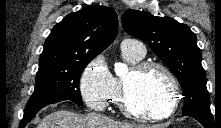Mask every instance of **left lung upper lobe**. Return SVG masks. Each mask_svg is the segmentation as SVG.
Listing matches in <instances>:
<instances>
[{"label": "left lung upper lobe", "instance_id": "left-lung-upper-lobe-1", "mask_svg": "<svg viewBox=\"0 0 221 128\" xmlns=\"http://www.w3.org/2000/svg\"><path fill=\"white\" fill-rule=\"evenodd\" d=\"M123 29L144 41L177 77L183 91V116L212 115L202 55L190 28L170 17L127 10Z\"/></svg>", "mask_w": 221, "mask_h": 128}]
</instances>
